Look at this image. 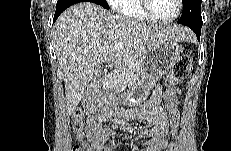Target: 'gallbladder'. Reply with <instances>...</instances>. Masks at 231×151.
<instances>
[{"instance_id":"1","label":"gallbladder","mask_w":231,"mask_h":151,"mask_svg":"<svg viewBox=\"0 0 231 151\" xmlns=\"http://www.w3.org/2000/svg\"><path fill=\"white\" fill-rule=\"evenodd\" d=\"M100 79V69H96L93 81H98Z\"/></svg>"}]
</instances>
